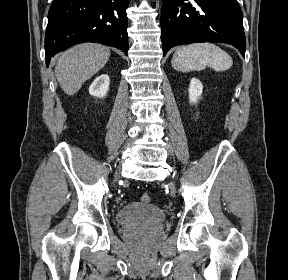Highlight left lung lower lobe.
Listing matches in <instances>:
<instances>
[{
    "instance_id": "left-lung-lower-lobe-1",
    "label": "left lung lower lobe",
    "mask_w": 288,
    "mask_h": 280,
    "mask_svg": "<svg viewBox=\"0 0 288 280\" xmlns=\"http://www.w3.org/2000/svg\"><path fill=\"white\" fill-rule=\"evenodd\" d=\"M163 56L170 48L197 42L226 43L245 56L246 38L237 0H163Z\"/></svg>"
}]
</instances>
